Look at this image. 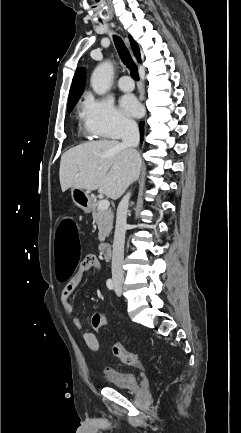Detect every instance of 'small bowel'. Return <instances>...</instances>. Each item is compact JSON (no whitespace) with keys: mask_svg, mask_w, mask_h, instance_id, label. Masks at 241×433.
<instances>
[{"mask_svg":"<svg viewBox=\"0 0 241 433\" xmlns=\"http://www.w3.org/2000/svg\"><path fill=\"white\" fill-rule=\"evenodd\" d=\"M70 220V219H68ZM92 268L101 269V265L95 255H88L84 258V260L79 264L75 274L71 277V279L66 283L61 292V304L66 313H73V304H72V295L83 281L84 277L88 273V271ZM93 318V317H92ZM74 326L83 330L85 328L83 321L78 318H73ZM107 324V317L101 314V327ZM83 339L87 345V347L92 351H97L99 349V342L95 334L91 332H84ZM115 371L109 370V373H113Z\"/></svg>","mask_w":241,"mask_h":433,"instance_id":"1","label":"small bowel"}]
</instances>
